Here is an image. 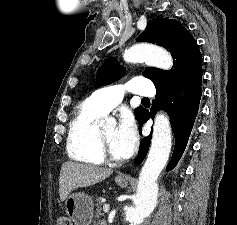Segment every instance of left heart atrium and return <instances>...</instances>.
Masks as SVG:
<instances>
[{
  "mask_svg": "<svg viewBox=\"0 0 237 225\" xmlns=\"http://www.w3.org/2000/svg\"><path fill=\"white\" fill-rule=\"evenodd\" d=\"M138 144V132L131 114L122 115L116 129L115 148L121 158L130 157Z\"/></svg>",
  "mask_w": 237,
  "mask_h": 225,
  "instance_id": "39dd6f15",
  "label": "left heart atrium"
}]
</instances>
